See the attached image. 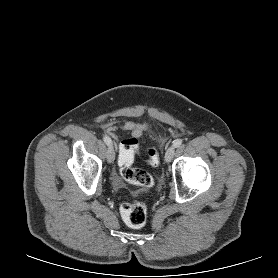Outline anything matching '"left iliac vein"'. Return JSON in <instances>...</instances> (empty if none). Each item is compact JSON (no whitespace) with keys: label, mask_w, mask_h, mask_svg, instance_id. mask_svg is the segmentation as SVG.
<instances>
[{"label":"left iliac vein","mask_w":278,"mask_h":278,"mask_svg":"<svg viewBox=\"0 0 278 278\" xmlns=\"http://www.w3.org/2000/svg\"><path fill=\"white\" fill-rule=\"evenodd\" d=\"M174 153H175V148H174V146H171V147H169V148L167 149V151H166V153H165V161H166L167 163H169V162L172 160V158H173V156H174Z\"/></svg>","instance_id":"4c4485c4"}]
</instances>
